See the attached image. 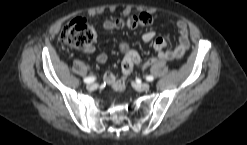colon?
Here are the masks:
<instances>
[{"label":"colon","mask_w":247,"mask_h":145,"mask_svg":"<svg viewBox=\"0 0 247 145\" xmlns=\"http://www.w3.org/2000/svg\"><path fill=\"white\" fill-rule=\"evenodd\" d=\"M152 23L149 15L142 13L130 16L126 19H116L114 27L136 29L145 27ZM96 39V32L90 21L84 17H77L66 24L60 32V40L66 45L75 49H86L93 45ZM136 60L134 56L130 57L122 66L125 74H128L130 65Z\"/></svg>","instance_id":"colon-1"}]
</instances>
